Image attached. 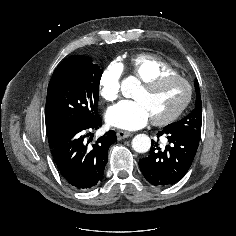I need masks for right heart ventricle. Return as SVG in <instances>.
<instances>
[{
	"label": "right heart ventricle",
	"instance_id": "obj_1",
	"mask_svg": "<svg viewBox=\"0 0 236 236\" xmlns=\"http://www.w3.org/2000/svg\"><path fill=\"white\" fill-rule=\"evenodd\" d=\"M130 69L133 76L142 83L159 75L177 73L169 63L152 54H140L134 57Z\"/></svg>",
	"mask_w": 236,
	"mask_h": 236
}]
</instances>
